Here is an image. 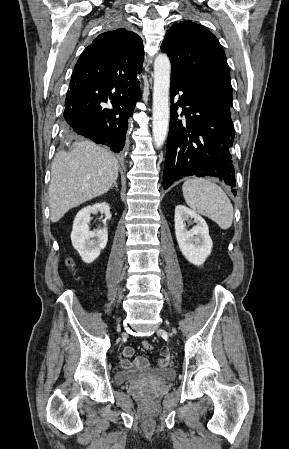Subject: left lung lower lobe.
Instances as JSON below:
<instances>
[{
    "instance_id": "left-lung-lower-lobe-1",
    "label": "left lung lower lobe",
    "mask_w": 289,
    "mask_h": 449,
    "mask_svg": "<svg viewBox=\"0 0 289 449\" xmlns=\"http://www.w3.org/2000/svg\"><path fill=\"white\" fill-rule=\"evenodd\" d=\"M182 91L171 106L169 135L163 172V187L185 176H212L235 186V169L230 148L234 140L231 112L208 97L195 83L171 77L170 96ZM178 106L183 107L177 119ZM236 195V190H232Z\"/></svg>"
}]
</instances>
